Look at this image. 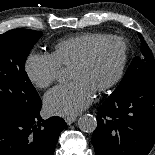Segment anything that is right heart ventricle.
Masks as SVG:
<instances>
[{"label": "right heart ventricle", "mask_w": 155, "mask_h": 155, "mask_svg": "<svg viewBox=\"0 0 155 155\" xmlns=\"http://www.w3.org/2000/svg\"><path fill=\"white\" fill-rule=\"evenodd\" d=\"M105 36L98 32H84L62 39L53 46L51 55L61 67L70 68L92 44Z\"/></svg>", "instance_id": "1"}]
</instances>
